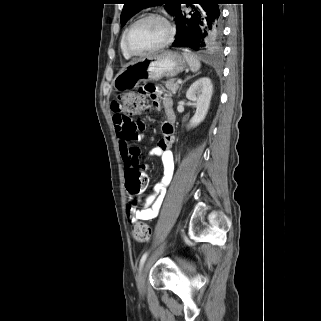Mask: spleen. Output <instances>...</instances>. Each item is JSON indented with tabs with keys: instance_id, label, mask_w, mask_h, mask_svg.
<instances>
[{
	"instance_id": "3e777b00",
	"label": "spleen",
	"mask_w": 321,
	"mask_h": 321,
	"mask_svg": "<svg viewBox=\"0 0 321 321\" xmlns=\"http://www.w3.org/2000/svg\"><path fill=\"white\" fill-rule=\"evenodd\" d=\"M182 54L185 60L187 61L190 70L192 72H197L201 67V64L197 57L188 49H184Z\"/></svg>"
}]
</instances>
